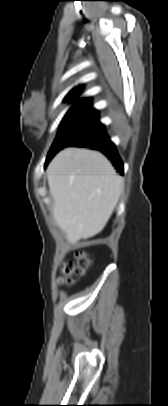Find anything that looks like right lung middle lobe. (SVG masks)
Masks as SVG:
<instances>
[{
	"instance_id": "obj_1",
	"label": "right lung middle lobe",
	"mask_w": 168,
	"mask_h": 406,
	"mask_svg": "<svg viewBox=\"0 0 168 406\" xmlns=\"http://www.w3.org/2000/svg\"><path fill=\"white\" fill-rule=\"evenodd\" d=\"M104 129L98 111L90 106L73 107L63 118L58 134L50 148L46 163L62 148Z\"/></svg>"
}]
</instances>
